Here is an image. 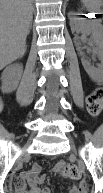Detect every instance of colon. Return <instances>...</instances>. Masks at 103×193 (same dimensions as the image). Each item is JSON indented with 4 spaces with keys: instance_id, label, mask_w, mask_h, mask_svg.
I'll return each mask as SVG.
<instances>
[{
    "instance_id": "1",
    "label": "colon",
    "mask_w": 103,
    "mask_h": 193,
    "mask_svg": "<svg viewBox=\"0 0 103 193\" xmlns=\"http://www.w3.org/2000/svg\"><path fill=\"white\" fill-rule=\"evenodd\" d=\"M103 90L95 89L87 98L88 111L92 116H98L102 110ZM57 170L64 178L75 179L80 175L77 165L67 161H61L57 165Z\"/></svg>"
}]
</instances>
